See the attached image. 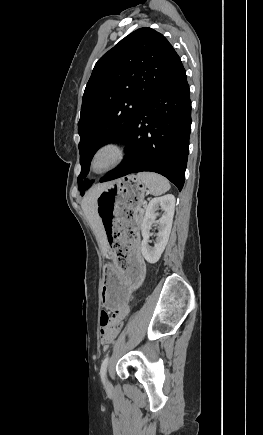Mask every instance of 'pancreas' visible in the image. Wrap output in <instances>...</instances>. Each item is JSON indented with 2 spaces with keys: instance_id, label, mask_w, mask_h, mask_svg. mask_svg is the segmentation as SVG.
<instances>
[{
  "instance_id": "obj_1",
  "label": "pancreas",
  "mask_w": 263,
  "mask_h": 435,
  "mask_svg": "<svg viewBox=\"0 0 263 435\" xmlns=\"http://www.w3.org/2000/svg\"><path fill=\"white\" fill-rule=\"evenodd\" d=\"M139 212L138 216L136 217L137 222L140 223L143 219V215H144V209L142 211H140V209L137 210Z\"/></svg>"
}]
</instances>
